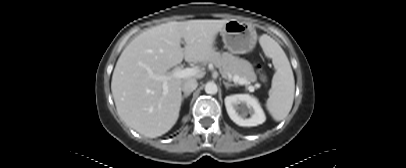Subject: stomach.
<instances>
[{
  "label": "stomach",
  "instance_id": "stomach-1",
  "mask_svg": "<svg viewBox=\"0 0 406 168\" xmlns=\"http://www.w3.org/2000/svg\"><path fill=\"white\" fill-rule=\"evenodd\" d=\"M225 47L233 54L247 53L256 45L255 28L246 22L229 20L220 32Z\"/></svg>",
  "mask_w": 406,
  "mask_h": 168
}]
</instances>
